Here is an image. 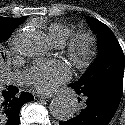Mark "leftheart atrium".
Masks as SVG:
<instances>
[{"instance_id": "1", "label": "left heart atrium", "mask_w": 125, "mask_h": 125, "mask_svg": "<svg viewBox=\"0 0 125 125\" xmlns=\"http://www.w3.org/2000/svg\"><path fill=\"white\" fill-rule=\"evenodd\" d=\"M69 76V70L62 62H40L24 71L23 80L40 92H50Z\"/></svg>"}]
</instances>
